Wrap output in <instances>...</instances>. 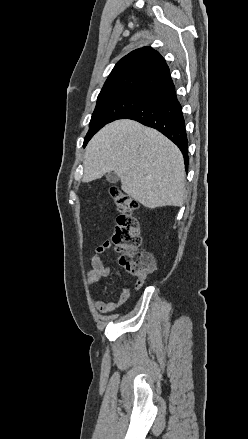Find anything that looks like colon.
<instances>
[{
	"mask_svg": "<svg viewBox=\"0 0 248 439\" xmlns=\"http://www.w3.org/2000/svg\"><path fill=\"white\" fill-rule=\"evenodd\" d=\"M110 195L119 212L112 243L121 253L120 264L135 278V285L141 286L154 271L155 261L150 253L140 249V226L134 215L137 203L115 186L110 188Z\"/></svg>",
	"mask_w": 248,
	"mask_h": 439,
	"instance_id": "colon-1",
	"label": "colon"
}]
</instances>
